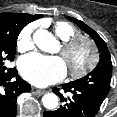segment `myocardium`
<instances>
[{"instance_id":"1","label":"myocardium","mask_w":117,"mask_h":117,"mask_svg":"<svg viewBox=\"0 0 117 117\" xmlns=\"http://www.w3.org/2000/svg\"><path fill=\"white\" fill-rule=\"evenodd\" d=\"M82 46H85L88 50L87 61L78 67L68 64L70 75L74 78H81L88 74L99 61V54L96 44L92 39L86 36H75L71 39L63 41L61 55L65 60H69L72 55Z\"/></svg>"}]
</instances>
